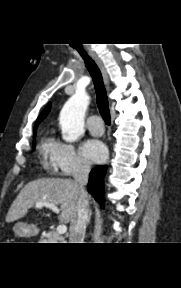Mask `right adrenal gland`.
Returning <instances> with one entry per match:
<instances>
[{"label": "right adrenal gland", "mask_w": 181, "mask_h": 288, "mask_svg": "<svg viewBox=\"0 0 181 288\" xmlns=\"http://www.w3.org/2000/svg\"><path fill=\"white\" fill-rule=\"evenodd\" d=\"M91 215H92V211L89 212V216H88L87 224L90 222Z\"/></svg>", "instance_id": "2a0ac1e0"}]
</instances>
